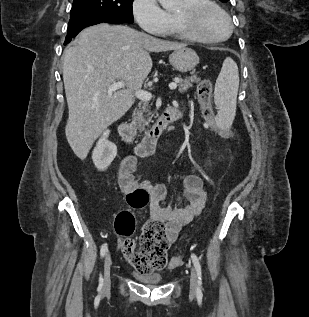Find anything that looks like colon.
Here are the masks:
<instances>
[{
  "label": "colon",
  "mask_w": 309,
  "mask_h": 317,
  "mask_svg": "<svg viewBox=\"0 0 309 317\" xmlns=\"http://www.w3.org/2000/svg\"><path fill=\"white\" fill-rule=\"evenodd\" d=\"M197 92L204 119L210 127H215L210 80L200 81ZM221 133L224 136H232L230 130H223ZM148 202L149 194L144 189H137L127 195V204L133 210L143 209ZM115 230L120 237V249L124 257L137 271L151 273L166 267L170 242L166 227L161 221L148 220L143 226L138 242H135L132 239L135 231L134 216L129 211H123L116 217ZM180 262L181 259L176 257L171 260V265L177 266Z\"/></svg>",
  "instance_id": "obj_1"
}]
</instances>
